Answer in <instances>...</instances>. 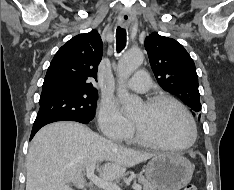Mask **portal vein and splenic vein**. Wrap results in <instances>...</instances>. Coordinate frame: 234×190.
<instances>
[{"label": "portal vein and splenic vein", "mask_w": 234, "mask_h": 190, "mask_svg": "<svg viewBox=\"0 0 234 190\" xmlns=\"http://www.w3.org/2000/svg\"><path fill=\"white\" fill-rule=\"evenodd\" d=\"M95 167H96L95 164H91L86 170V175L96 186H98L104 190H121V188L117 184L97 177L94 174ZM132 188L134 190H141L142 189V187L138 184H134L132 186Z\"/></svg>", "instance_id": "18ae733b"}]
</instances>
